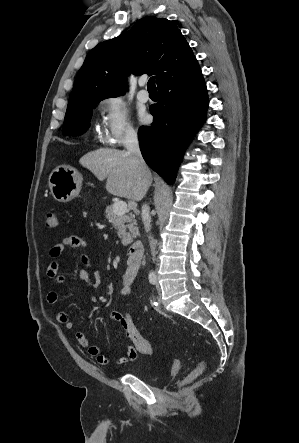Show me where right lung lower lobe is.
Wrapping results in <instances>:
<instances>
[{
    "label": "right lung lower lobe",
    "instance_id": "obj_1",
    "mask_svg": "<svg viewBox=\"0 0 299 443\" xmlns=\"http://www.w3.org/2000/svg\"><path fill=\"white\" fill-rule=\"evenodd\" d=\"M158 91V103L150 107L153 123L142 126L138 138L147 164L173 184L184 150L202 125L209 101L200 67L162 82Z\"/></svg>",
    "mask_w": 299,
    "mask_h": 443
}]
</instances>
